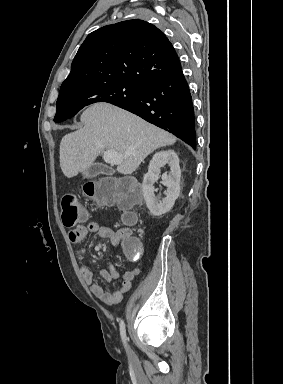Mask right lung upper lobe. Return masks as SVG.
Segmentation results:
<instances>
[{"label":"right lung upper lobe","mask_w":283,"mask_h":384,"mask_svg":"<svg viewBox=\"0 0 283 384\" xmlns=\"http://www.w3.org/2000/svg\"><path fill=\"white\" fill-rule=\"evenodd\" d=\"M167 37L143 20H128L90 33L61 88L114 80L144 86L181 71Z\"/></svg>","instance_id":"1"}]
</instances>
